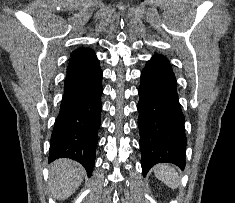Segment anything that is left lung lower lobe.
Returning <instances> with one entry per match:
<instances>
[{
  "label": "left lung lower lobe",
  "instance_id": "0a47b994",
  "mask_svg": "<svg viewBox=\"0 0 235 203\" xmlns=\"http://www.w3.org/2000/svg\"><path fill=\"white\" fill-rule=\"evenodd\" d=\"M138 127L142 170L169 162L185 167L187 139L178 101L176 78L168 59L155 55L141 73Z\"/></svg>",
  "mask_w": 235,
  "mask_h": 203
}]
</instances>
